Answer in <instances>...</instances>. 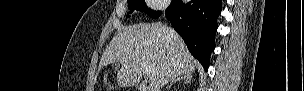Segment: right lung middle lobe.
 I'll return each instance as SVG.
<instances>
[{
  "mask_svg": "<svg viewBox=\"0 0 304 91\" xmlns=\"http://www.w3.org/2000/svg\"><path fill=\"white\" fill-rule=\"evenodd\" d=\"M128 8L130 9V13L136 9L148 14L152 18H158L161 14L160 11H152L149 9L144 0H128ZM127 17H130L129 14H127Z\"/></svg>",
  "mask_w": 304,
  "mask_h": 91,
  "instance_id": "dd1d6c3e",
  "label": "right lung middle lobe"
}]
</instances>
